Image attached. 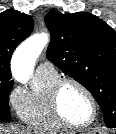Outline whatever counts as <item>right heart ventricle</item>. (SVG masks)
Instances as JSON below:
<instances>
[{"instance_id":"right-heart-ventricle-1","label":"right heart ventricle","mask_w":116,"mask_h":134,"mask_svg":"<svg viewBox=\"0 0 116 134\" xmlns=\"http://www.w3.org/2000/svg\"><path fill=\"white\" fill-rule=\"evenodd\" d=\"M59 79L56 70L35 72L31 90L23 92L16 107L24 123L45 131L64 129L65 126L55 117L51 106V90Z\"/></svg>"}]
</instances>
